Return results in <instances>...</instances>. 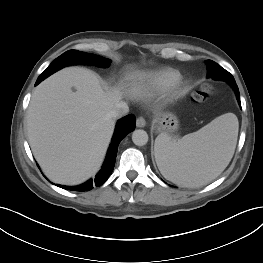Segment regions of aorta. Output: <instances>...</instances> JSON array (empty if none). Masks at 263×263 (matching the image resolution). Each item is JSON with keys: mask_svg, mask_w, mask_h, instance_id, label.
<instances>
[{"mask_svg": "<svg viewBox=\"0 0 263 263\" xmlns=\"http://www.w3.org/2000/svg\"><path fill=\"white\" fill-rule=\"evenodd\" d=\"M148 134L146 131L138 129L132 133V141L137 146H144L148 142Z\"/></svg>", "mask_w": 263, "mask_h": 263, "instance_id": "1", "label": "aorta"}]
</instances>
